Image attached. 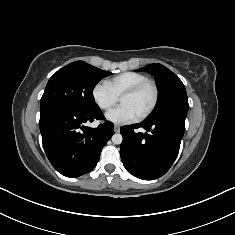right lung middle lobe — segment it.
Segmentation results:
<instances>
[{"label":"right lung middle lobe","instance_id":"right-lung-middle-lobe-1","mask_svg":"<svg viewBox=\"0 0 235 235\" xmlns=\"http://www.w3.org/2000/svg\"><path fill=\"white\" fill-rule=\"evenodd\" d=\"M110 74L84 61L72 62L50 78L40 101V109L63 107L72 111H88L97 108L93 89Z\"/></svg>","mask_w":235,"mask_h":235}]
</instances>
